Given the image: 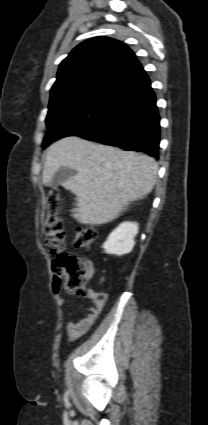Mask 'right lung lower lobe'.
<instances>
[{"label":"right lung lower lobe","mask_w":208,"mask_h":425,"mask_svg":"<svg viewBox=\"0 0 208 425\" xmlns=\"http://www.w3.org/2000/svg\"><path fill=\"white\" fill-rule=\"evenodd\" d=\"M67 136L159 157L156 96L140 62L117 77L91 103L58 118L46 135L51 143Z\"/></svg>","instance_id":"1"}]
</instances>
